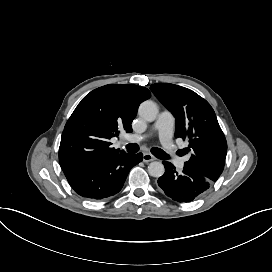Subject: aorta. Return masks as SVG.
<instances>
[{"mask_svg": "<svg viewBox=\"0 0 272 272\" xmlns=\"http://www.w3.org/2000/svg\"><path fill=\"white\" fill-rule=\"evenodd\" d=\"M138 113L147 122H153L159 113V108L155 102L147 100L141 103ZM148 172L153 177H160L164 174L165 169L161 162L153 161L148 165Z\"/></svg>", "mask_w": 272, "mask_h": 272, "instance_id": "aorta-1", "label": "aorta"}]
</instances>
